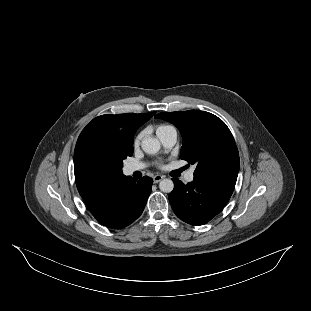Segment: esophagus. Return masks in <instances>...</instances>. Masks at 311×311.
I'll list each match as a JSON object with an SVG mask.
<instances>
[{
	"label": "esophagus",
	"mask_w": 311,
	"mask_h": 311,
	"mask_svg": "<svg viewBox=\"0 0 311 311\" xmlns=\"http://www.w3.org/2000/svg\"><path fill=\"white\" fill-rule=\"evenodd\" d=\"M163 178H164L163 175H155L153 177V181H154V183H159Z\"/></svg>",
	"instance_id": "34e87169"
}]
</instances>
